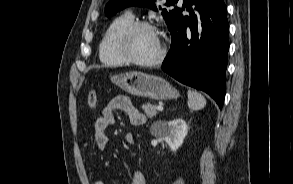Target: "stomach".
<instances>
[{"mask_svg": "<svg viewBox=\"0 0 293 184\" xmlns=\"http://www.w3.org/2000/svg\"><path fill=\"white\" fill-rule=\"evenodd\" d=\"M111 82L125 92L138 97L164 100L179 96L178 91L165 79L139 71H130L111 76Z\"/></svg>", "mask_w": 293, "mask_h": 184, "instance_id": "1", "label": "stomach"}]
</instances>
